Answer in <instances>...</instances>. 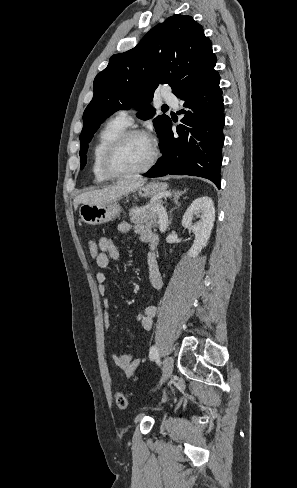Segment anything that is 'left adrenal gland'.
<instances>
[{"instance_id": "1", "label": "left adrenal gland", "mask_w": 297, "mask_h": 488, "mask_svg": "<svg viewBox=\"0 0 297 488\" xmlns=\"http://www.w3.org/2000/svg\"><path fill=\"white\" fill-rule=\"evenodd\" d=\"M185 192H186V190H184V191H180V192H179V191H176V190H173V191H172V193H173V197H174V199H173V200H174L175 205H179V199H180V196H181L182 194H184ZM171 212H172V210L170 211V214H171ZM170 220H171V219H170Z\"/></svg>"}]
</instances>
